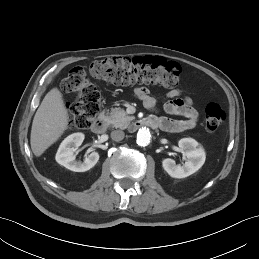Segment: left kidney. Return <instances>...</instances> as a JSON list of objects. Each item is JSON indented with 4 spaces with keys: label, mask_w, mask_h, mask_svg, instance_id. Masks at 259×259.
I'll use <instances>...</instances> for the list:
<instances>
[{
    "label": "left kidney",
    "mask_w": 259,
    "mask_h": 259,
    "mask_svg": "<svg viewBox=\"0 0 259 259\" xmlns=\"http://www.w3.org/2000/svg\"><path fill=\"white\" fill-rule=\"evenodd\" d=\"M178 145L184 151L187 161L183 165H177L173 159L166 158L162 161V166L171 177L180 179L198 171L203 166L206 155L193 138H183Z\"/></svg>",
    "instance_id": "left-kidney-1"
}]
</instances>
